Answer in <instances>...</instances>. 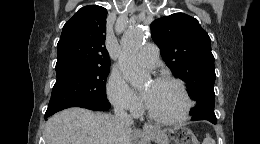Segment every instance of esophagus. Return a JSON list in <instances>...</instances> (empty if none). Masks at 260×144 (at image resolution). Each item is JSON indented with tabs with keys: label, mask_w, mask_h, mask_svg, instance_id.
<instances>
[{
	"label": "esophagus",
	"mask_w": 260,
	"mask_h": 144,
	"mask_svg": "<svg viewBox=\"0 0 260 144\" xmlns=\"http://www.w3.org/2000/svg\"><path fill=\"white\" fill-rule=\"evenodd\" d=\"M144 130L145 131H152V130H154V126L147 123V124L144 125Z\"/></svg>",
	"instance_id": "esophagus-1"
}]
</instances>
